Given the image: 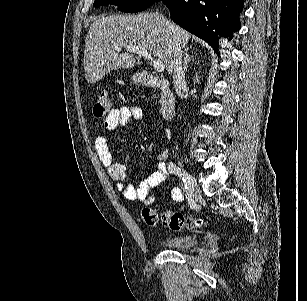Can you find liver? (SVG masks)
<instances>
[{
  "label": "liver",
  "mask_w": 307,
  "mask_h": 301,
  "mask_svg": "<svg viewBox=\"0 0 307 301\" xmlns=\"http://www.w3.org/2000/svg\"><path fill=\"white\" fill-rule=\"evenodd\" d=\"M170 22V20H168ZM177 34H172L167 18L157 12L139 14H101L92 22L85 40L84 72L88 82H98L106 72L116 68H133L140 64L135 52H121L115 46H141L162 60L172 74L173 48H182L190 40V32L171 22Z\"/></svg>",
  "instance_id": "1"
}]
</instances>
